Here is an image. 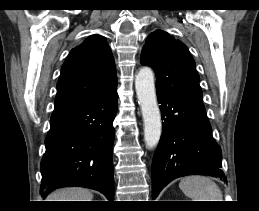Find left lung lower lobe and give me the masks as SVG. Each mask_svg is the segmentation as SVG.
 Listing matches in <instances>:
<instances>
[{"label":"left lung lower lobe","mask_w":259,"mask_h":211,"mask_svg":"<svg viewBox=\"0 0 259 211\" xmlns=\"http://www.w3.org/2000/svg\"><path fill=\"white\" fill-rule=\"evenodd\" d=\"M161 104L162 135L152 161V196L173 179L204 174L226 181L221 148L202 101L156 90Z\"/></svg>","instance_id":"obj_1"}]
</instances>
